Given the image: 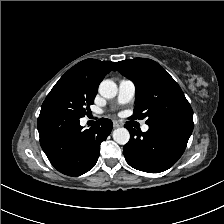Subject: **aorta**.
Wrapping results in <instances>:
<instances>
[{
    "label": "aorta",
    "instance_id": "1",
    "mask_svg": "<svg viewBox=\"0 0 224 224\" xmlns=\"http://www.w3.org/2000/svg\"><path fill=\"white\" fill-rule=\"evenodd\" d=\"M118 92L117 85L112 80H103L99 85V93L104 98L110 99L114 98ZM113 139L116 143L120 145H125L129 142L130 139V133L129 131L122 127L117 128L113 131Z\"/></svg>",
    "mask_w": 224,
    "mask_h": 224
}]
</instances>
